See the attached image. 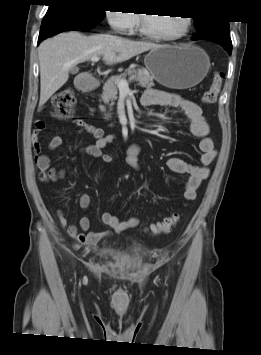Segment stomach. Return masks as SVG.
I'll return each instance as SVG.
<instances>
[{"label": "stomach", "instance_id": "stomach-1", "mask_svg": "<svg viewBox=\"0 0 261 355\" xmlns=\"http://www.w3.org/2000/svg\"><path fill=\"white\" fill-rule=\"evenodd\" d=\"M144 62L157 82L172 89L197 85L206 77L210 68L206 52L192 44L153 48Z\"/></svg>", "mask_w": 261, "mask_h": 355}]
</instances>
